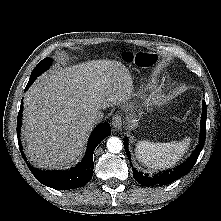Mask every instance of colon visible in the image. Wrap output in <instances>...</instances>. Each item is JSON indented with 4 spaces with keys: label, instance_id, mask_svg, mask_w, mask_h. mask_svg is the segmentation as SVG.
<instances>
[{
    "label": "colon",
    "instance_id": "1",
    "mask_svg": "<svg viewBox=\"0 0 221 221\" xmlns=\"http://www.w3.org/2000/svg\"><path fill=\"white\" fill-rule=\"evenodd\" d=\"M125 59L130 62L134 61L137 65L142 67H148L154 62L153 55L147 53H139L135 56L132 54H126Z\"/></svg>",
    "mask_w": 221,
    "mask_h": 221
}]
</instances>
